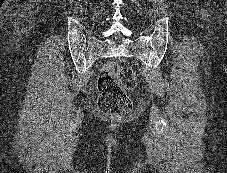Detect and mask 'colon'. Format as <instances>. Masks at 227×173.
Instances as JSON below:
<instances>
[{
	"mask_svg": "<svg viewBox=\"0 0 227 173\" xmlns=\"http://www.w3.org/2000/svg\"><path fill=\"white\" fill-rule=\"evenodd\" d=\"M136 85L137 76L132 69L114 62L106 63L97 81L100 110L110 115H128L132 111V102L127 91Z\"/></svg>",
	"mask_w": 227,
	"mask_h": 173,
	"instance_id": "colon-1",
	"label": "colon"
}]
</instances>
